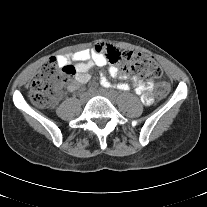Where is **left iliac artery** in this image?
I'll list each match as a JSON object with an SVG mask.
<instances>
[{
	"mask_svg": "<svg viewBox=\"0 0 207 207\" xmlns=\"http://www.w3.org/2000/svg\"><path fill=\"white\" fill-rule=\"evenodd\" d=\"M109 87H110V85H109ZM117 88L124 90V91L129 90V86L127 84H118Z\"/></svg>",
	"mask_w": 207,
	"mask_h": 207,
	"instance_id": "left-iliac-artery-1",
	"label": "left iliac artery"
}]
</instances>
